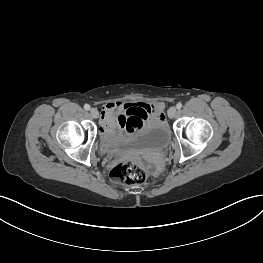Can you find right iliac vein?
Returning a JSON list of instances; mask_svg holds the SVG:
<instances>
[{
  "label": "right iliac vein",
  "mask_w": 263,
  "mask_h": 263,
  "mask_svg": "<svg viewBox=\"0 0 263 263\" xmlns=\"http://www.w3.org/2000/svg\"><path fill=\"white\" fill-rule=\"evenodd\" d=\"M90 115L93 117V118H98L99 117V112L96 108H92L90 109Z\"/></svg>",
  "instance_id": "obj_1"
}]
</instances>
